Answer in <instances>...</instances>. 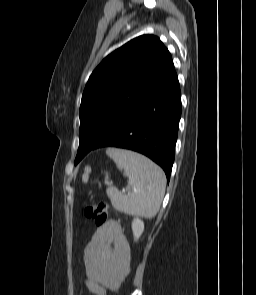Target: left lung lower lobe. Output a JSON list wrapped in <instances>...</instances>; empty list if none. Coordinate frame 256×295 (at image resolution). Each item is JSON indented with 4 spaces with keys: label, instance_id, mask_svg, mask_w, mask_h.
Segmentation results:
<instances>
[{
    "label": "left lung lower lobe",
    "instance_id": "1",
    "mask_svg": "<svg viewBox=\"0 0 256 295\" xmlns=\"http://www.w3.org/2000/svg\"><path fill=\"white\" fill-rule=\"evenodd\" d=\"M180 117L181 93L175 74L155 94L131 110L91 150L119 147L137 151L160 165L169 181Z\"/></svg>",
    "mask_w": 256,
    "mask_h": 295
}]
</instances>
